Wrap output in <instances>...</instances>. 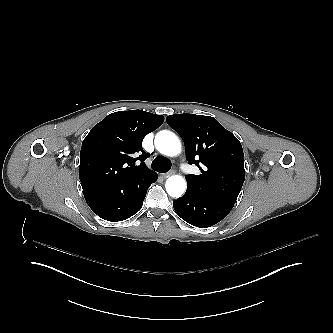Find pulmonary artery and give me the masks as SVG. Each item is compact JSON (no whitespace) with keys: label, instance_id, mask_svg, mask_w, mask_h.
<instances>
[{"label":"pulmonary artery","instance_id":"1","mask_svg":"<svg viewBox=\"0 0 333 333\" xmlns=\"http://www.w3.org/2000/svg\"><path fill=\"white\" fill-rule=\"evenodd\" d=\"M178 167H179L180 169H182V168L184 167V168H183V171H184V173L187 174V175L192 174L193 171H194L193 166L190 165V164H187V165H185V166H183L182 164H180Z\"/></svg>","mask_w":333,"mask_h":333}]
</instances>
